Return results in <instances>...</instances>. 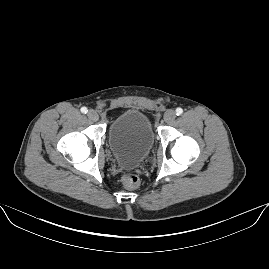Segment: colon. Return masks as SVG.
Wrapping results in <instances>:
<instances>
[{
	"label": "colon",
	"instance_id": "obj_1",
	"mask_svg": "<svg viewBox=\"0 0 269 269\" xmlns=\"http://www.w3.org/2000/svg\"><path fill=\"white\" fill-rule=\"evenodd\" d=\"M120 180L127 189L137 190L142 185L141 178L133 173H123Z\"/></svg>",
	"mask_w": 269,
	"mask_h": 269
}]
</instances>
